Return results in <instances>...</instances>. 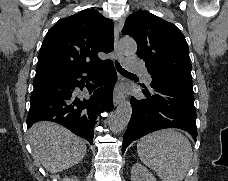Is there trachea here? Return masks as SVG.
<instances>
[{"label":"trachea","instance_id":"3493384b","mask_svg":"<svg viewBox=\"0 0 228 181\" xmlns=\"http://www.w3.org/2000/svg\"><path fill=\"white\" fill-rule=\"evenodd\" d=\"M115 67H116L117 71L119 73H121V75L122 74L133 75V73H130L129 71L122 68V66L120 65V63L118 61H115Z\"/></svg>","mask_w":228,"mask_h":181}]
</instances>
